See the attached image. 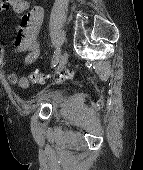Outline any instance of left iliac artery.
I'll return each instance as SVG.
<instances>
[{"label": "left iliac artery", "instance_id": "1", "mask_svg": "<svg viewBox=\"0 0 143 170\" xmlns=\"http://www.w3.org/2000/svg\"><path fill=\"white\" fill-rule=\"evenodd\" d=\"M59 58H60V50L59 49H56V51L54 52V55H53V59H52V66L55 67L56 64L58 63L59 61Z\"/></svg>", "mask_w": 143, "mask_h": 170}]
</instances>
